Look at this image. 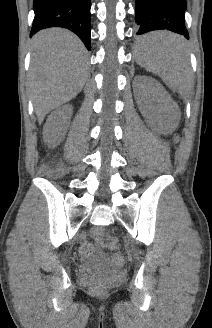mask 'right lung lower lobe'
<instances>
[{
	"instance_id": "right-lung-lower-lobe-1",
	"label": "right lung lower lobe",
	"mask_w": 212,
	"mask_h": 328,
	"mask_svg": "<svg viewBox=\"0 0 212 328\" xmlns=\"http://www.w3.org/2000/svg\"><path fill=\"white\" fill-rule=\"evenodd\" d=\"M90 0H34L31 36L49 27H64L79 36L90 50Z\"/></svg>"
}]
</instances>
